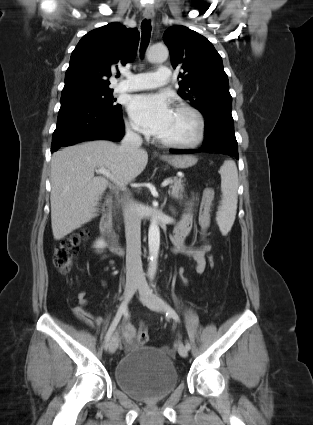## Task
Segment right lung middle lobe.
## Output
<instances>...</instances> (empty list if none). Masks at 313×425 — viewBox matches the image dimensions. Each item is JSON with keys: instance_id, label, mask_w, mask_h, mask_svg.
I'll return each instance as SVG.
<instances>
[{"instance_id": "obj_1", "label": "right lung middle lobe", "mask_w": 313, "mask_h": 425, "mask_svg": "<svg viewBox=\"0 0 313 425\" xmlns=\"http://www.w3.org/2000/svg\"><path fill=\"white\" fill-rule=\"evenodd\" d=\"M112 92L113 90H111L110 88L82 89L62 94L61 99L80 98L110 109L121 108L120 104L114 103L115 99H113Z\"/></svg>"}]
</instances>
